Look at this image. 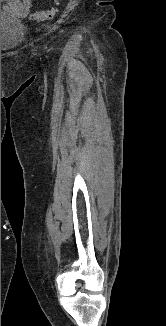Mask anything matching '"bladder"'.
<instances>
[{
	"label": "bladder",
	"mask_w": 166,
	"mask_h": 326,
	"mask_svg": "<svg viewBox=\"0 0 166 326\" xmlns=\"http://www.w3.org/2000/svg\"><path fill=\"white\" fill-rule=\"evenodd\" d=\"M22 34V21L11 13L1 10V51L15 48Z\"/></svg>",
	"instance_id": "obj_1"
}]
</instances>
